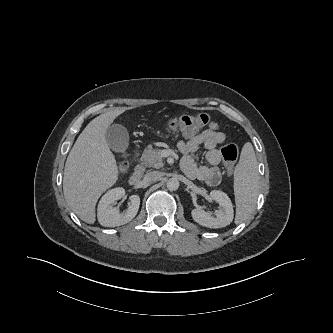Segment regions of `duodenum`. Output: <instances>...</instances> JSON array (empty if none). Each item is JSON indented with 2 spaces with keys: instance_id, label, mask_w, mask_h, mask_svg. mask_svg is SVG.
Masks as SVG:
<instances>
[{
  "instance_id": "obj_1",
  "label": "duodenum",
  "mask_w": 333,
  "mask_h": 333,
  "mask_svg": "<svg viewBox=\"0 0 333 333\" xmlns=\"http://www.w3.org/2000/svg\"><path fill=\"white\" fill-rule=\"evenodd\" d=\"M135 158L139 159V153L135 154ZM142 175H143L142 167H137L128 179L129 184L132 186L137 185L140 182Z\"/></svg>"
}]
</instances>
